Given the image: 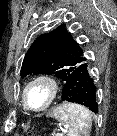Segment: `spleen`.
Returning <instances> with one entry per match:
<instances>
[{
	"instance_id": "3e777b00",
	"label": "spleen",
	"mask_w": 117,
	"mask_h": 136,
	"mask_svg": "<svg viewBox=\"0 0 117 136\" xmlns=\"http://www.w3.org/2000/svg\"><path fill=\"white\" fill-rule=\"evenodd\" d=\"M51 116L69 128L68 136L86 135L91 129L90 112L79 104L63 103L53 110Z\"/></svg>"
}]
</instances>
